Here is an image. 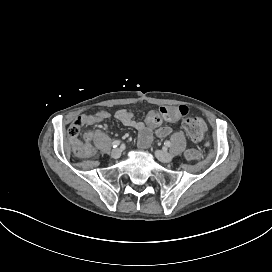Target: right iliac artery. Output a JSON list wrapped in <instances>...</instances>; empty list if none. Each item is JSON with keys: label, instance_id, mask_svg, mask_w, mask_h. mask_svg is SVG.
<instances>
[{"label": "right iliac artery", "instance_id": "1", "mask_svg": "<svg viewBox=\"0 0 272 272\" xmlns=\"http://www.w3.org/2000/svg\"><path fill=\"white\" fill-rule=\"evenodd\" d=\"M120 144H121V142H120L119 140H115V141L112 142V147H113V148H116V147H118Z\"/></svg>", "mask_w": 272, "mask_h": 272}]
</instances>
